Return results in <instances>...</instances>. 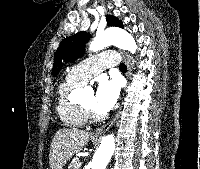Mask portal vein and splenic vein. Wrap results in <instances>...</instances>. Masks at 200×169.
Listing matches in <instances>:
<instances>
[{
    "mask_svg": "<svg viewBox=\"0 0 200 169\" xmlns=\"http://www.w3.org/2000/svg\"><path fill=\"white\" fill-rule=\"evenodd\" d=\"M79 165V167L81 166V162L78 164Z\"/></svg>",
    "mask_w": 200,
    "mask_h": 169,
    "instance_id": "obj_1",
    "label": "portal vein and splenic vein"
}]
</instances>
